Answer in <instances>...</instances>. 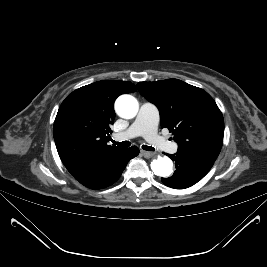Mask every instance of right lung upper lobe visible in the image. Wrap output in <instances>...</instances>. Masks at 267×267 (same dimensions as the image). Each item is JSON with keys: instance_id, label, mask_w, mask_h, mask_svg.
<instances>
[{"instance_id": "right-lung-upper-lobe-1", "label": "right lung upper lobe", "mask_w": 267, "mask_h": 267, "mask_svg": "<svg viewBox=\"0 0 267 267\" xmlns=\"http://www.w3.org/2000/svg\"><path fill=\"white\" fill-rule=\"evenodd\" d=\"M128 81H98L69 94L62 102L53 127L58 154L73 177L81 175L96 159L120 150L108 145L115 118L114 102L135 92Z\"/></svg>"}]
</instances>
